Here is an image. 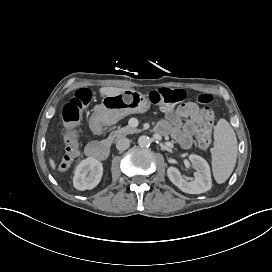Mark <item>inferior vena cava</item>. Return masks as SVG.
<instances>
[{
    "mask_svg": "<svg viewBox=\"0 0 272 272\" xmlns=\"http://www.w3.org/2000/svg\"><path fill=\"white\" fill-rule=\"evenodd\" d=\"M130 146V141L128 138H120L117 141L116 148L120 151L126 150Z\"/></svg>",
    "mask_w": 272,
    "mask_h": 272,
    "instance_id": "inferior-vena-cava-1",
    "label": "inferior vena cava"
}]
</instances>
